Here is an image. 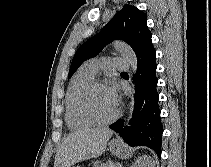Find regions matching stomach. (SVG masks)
Wrapping results in <instances>:
<instances>
[{
  "mask_svg": "<svg viewBox=\"0 0 211 167\" xmlns=\"http://www.w3.org/2000/svg\"><path fill=\"white\" fill-rule=\"evenodd\" d=\"M109 150L112 154L120 158H126L132 154V151L118 139H114L109 143Z\"/></svg>",
  "mask_w": 211,
  "mask_h": 167,
  "instance_id": "0dacf381",
  "label": "stomach"
}]
</instances>
